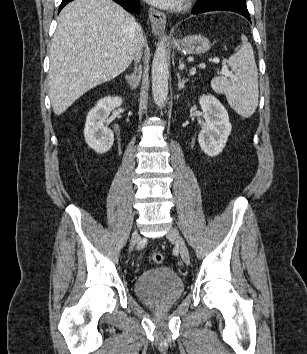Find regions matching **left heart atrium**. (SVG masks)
I'll return each instance as SVG.
<instances>
[{
  "instance_id": "obj_1",
  "label": "left heart atrium",
  "mask_w": 307,
  "mask_h": 354,
  "mask_svg": "<svg viewBox=\"0 0 307 354\" xmlns=\"http://www.w3.org/2000/svg\"><path fill=\"white\" fill-rule=\"evenodd\" d=\"M147 1L160 7H171L176 5L179 2V0H147Z\"/></svg>"
}]
</instances>
